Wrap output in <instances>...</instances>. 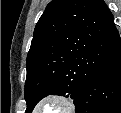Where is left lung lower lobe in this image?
<instances>
[{
    "label": "left lung lower lobe",
    "mask_w": 121,
    "mask_h": 113,
    "mask_svg": "<svg viewBox=\"0 0 121 113\" xmlns=\"http://www.w3.org/2000/svg\"><path fill=\"white\" fill-rule=\"evenodd\" d=\"M76 113H121V39L82 89Z\"/></svg>",
    "instance_id": "0a47b994"
}]
</instances>
